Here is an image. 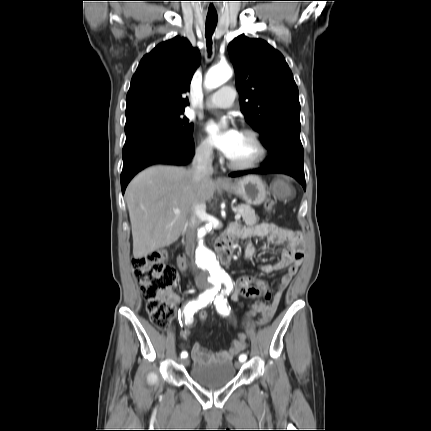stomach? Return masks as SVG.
Instances as JSON below:
<instances>
[{"label": "stomach", "instance_id": "0dacf381", "mask_svg": "<svg viewBox=\"0 0 431 431\" xmlns=\"http://www.w3.org/2000/svg\"><path fill=\"white\" fill-rule=\"evenodd\" d=\"M223 190L230 194H235L242 198L248 205L258 206L267 197L265 184L257 176H247L239 180L231 181L228 185L221 186ZM273 193L279 198H288L292 194L291 188L282 181H277L273 185Z\"/></svg>", "mask_w": 431, "mask_h": 431}]
</instances>
